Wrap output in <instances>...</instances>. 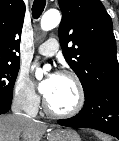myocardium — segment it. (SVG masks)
<instances>
[{
  "label": "myocardium",
  "mask_w": 119,
  "mask_h": 141,
  "mask_svg": "<svg viewBox=\"0 0 119 141\" xmlns=\"http://www.w3.org/2000/svg\"><path fill=\"white\" fill-rule=\"evenodd\" d=\"M58 75L70 78L73 81V83L75 84V87L77 90L76 105L71 110H68V111H56L50 107L45 97L43 100V108L47 114L53 117H58V118L74 117L82 111L85 105L86 95H85L83 84L80 78L77 76V74H75L72 71L62 70L58 73Z\"/></svg>",
  "instance_id": "f54148a6"
}]
</instances>
